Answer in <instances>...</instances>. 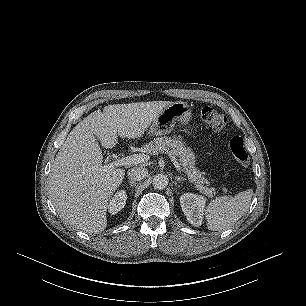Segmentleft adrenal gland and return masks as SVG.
<instances>
[{
	"label": "left adrenal gland",
	"mask_w": 306,
	"mask_h": 306,
	"mask_svg": "<svg viewBox=\"0 0 306 306\" xmlns=\"http://www.w3.org/2000/svg\"><path fill=\"white\" fill-rule=\"evenodd\" d=\"M175 180H176L177 182H183V181H185L186 179L183 178V177H180V176H176V177H175Z\"/></svg>",
	"instance_id": "a2214340"
}]
</instances>
